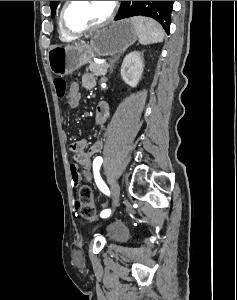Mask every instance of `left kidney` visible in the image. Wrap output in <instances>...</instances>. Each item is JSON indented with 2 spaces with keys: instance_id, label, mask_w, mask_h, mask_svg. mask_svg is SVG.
<instances>
[{
  "instance_id": "1",
  "label": "left kidney",
  "mask_w": 237,
  "mask_h": 300,
  "mask_svg": "<svg viewBox=\"0 0 237 300\" xmlns=\"http://www.w3.org/2000/svg\"><path fill=\"white\" fill-rule=\"evenodd\" d=\"M143 69V57L139 51H133V53L126 55L121 67V77L124 83L130 87H137Z\"/></svg>"
}]
</instances>
